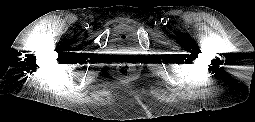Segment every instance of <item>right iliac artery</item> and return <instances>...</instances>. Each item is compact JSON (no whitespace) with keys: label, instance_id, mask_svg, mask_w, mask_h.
Instances as JSON below:
<instances>
[{"label":"right iliac artery","instance_id":"1","mask_svg":"<svg viewBox=\"0 0 255 122\" xmlns=\"http://www.w3.org/2000/svg\"><path fill=\"white\" fill-rule=\"evenodd\" d=\"M83 27H84L85 29H88V28H89V24H88V23H84V24H83Z\"/></svg>","mask_w":255,"mask_h":122}]
</instances>
